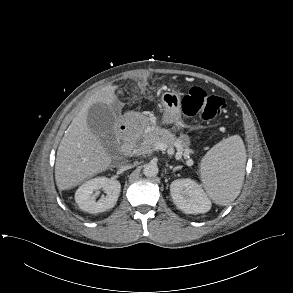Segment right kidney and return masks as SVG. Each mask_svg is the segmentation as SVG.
<instances>
[{"label": "right kidney", "mask_w": 293, "mask_h": 293, "mask_svg": "<svg viewBox=\"0 0 293 293\" xmlns=\"http://www.w3.org/2000/svg\"><path fill=\"white\" fill-rule=\"evenodd\" d=\"M101 188L107 195L96 201L93 193ZM120 191L121 184L118 180L97 177L86 181L77 189L75 201L80 209L88 213H101L116 205Z\"/></svg>", "instance_id": "obj_1"}]
</instances>
